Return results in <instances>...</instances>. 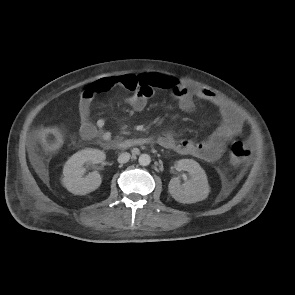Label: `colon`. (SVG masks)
Listing matches in <instances>:
<instances>
[{
  "label": "colon",
  "mask_w": 295,
  "mask_h": 295,
  "mask_svg": "<svg viewBox=\"0 0 295 295\" xmlns=\"http://www.w3.org/2000/svg\"><path fill=\"white\" fill-rule=\"evenodd\" d=\"M127 85L129 88L137 86L136 78L129 76L127 78ZM37 138L41 145L48 151H54L61 147L63 144L62 132L53 127L41 129ZM251 156V150L242 142L234 141L230 146V160L234 165L240 166L248 161Z\"/></svg>",
  "instance_id": "colon-1"
}]
</instances>
